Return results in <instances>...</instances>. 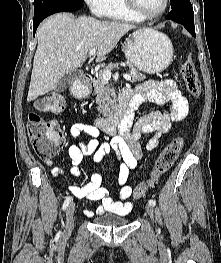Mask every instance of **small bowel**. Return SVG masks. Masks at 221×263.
I'll list each match as a JSON object with an SVG mask.
<instances>
[{
	"mask_svg": "<svg viewBox=\"0 0 221 263\" xmlns=\"http://www.w3.org/2000/svg\"><path fill=\"white\" fill-rule=\"evenodd\" d=\"M130 94L132 101L139 106L144 102H153L164 107V110L149 112L140 117L128 128L120 129L119 134L112 137L109 142H100L98 127L87 123H74L69 130L70 135L77 139L82 134L91 137L89 141L77 140L68 145L67 152L71 160V173L80 176L79 165L83 158L92 155L95 166H98L105 156L113 154L119 163L117 182L121 187L118 200L110 197L108 190L103 186V177L94 172L85 185H70L69 191L79 199L100 202L97 214L111 212L117 215H126L133 208L130 200L132 187L127 184L130 172L137 166L138 159L142 156L141 139L148 135L147 150H154L162 135L167 134L173 123L183 120L189 113V104L178 89L176 82L171 79L163 81L148 80L138 84L134 90L125 89ZM51 166V174L55 178L64 175L61 167L53 166V162L46 161ZM86 216L94 213L85 211Z\"/></svg>",
	"mask_w": 221,
	"mask_h": 263,
	"instance_id": "1",
	"label": "small bowel"
}]
</instances>
